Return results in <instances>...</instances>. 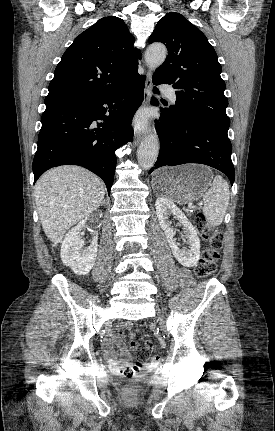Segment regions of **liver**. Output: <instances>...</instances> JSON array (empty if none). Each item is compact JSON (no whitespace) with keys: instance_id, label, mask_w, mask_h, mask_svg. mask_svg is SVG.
Masks as SVG:
<instances>
[{"instance_id":"obj_1","label":"liver","mask_w":275,"mask_h":431,"mask_svg":"<svg viewBox=\"0 0 275 431\" xmlns=\"http://www.w3.org/2000/svg\"><path fill=\"white\" fill-rule=\"evenodd\" d=\"M34 195L42 228L57 245L70 227L100 206L105 189L102 180L92 172L67 165L40 177Z\"/></svg>"}]
</instances>
